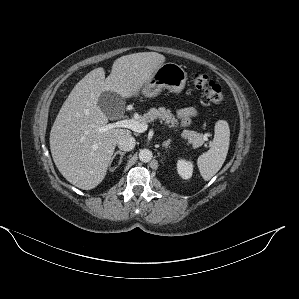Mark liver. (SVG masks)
I'll return each instance as SVG.
<instances>
[{"mask_svg":"<svg viewBox=\"0 0 299 299\" xmlns=\"http://www.w3.org/2000/svg\"><path fill=\"white\" fill-rule=\"evenodd\" d=\"M165 62L156 52L125 55L114 61L105 78L102 67L82 78L62 105L50 132V150L59 172L74 186L90 190L106 176L118 139L130 134L113 128L100 132L108 123L97 105L99 96L112 91L123 98L139 96L154 71Z\"/></svg>","mask_w":299,"mask_h":299,"instance_id":"6515ba94","label":"liver"}]
</instances>
